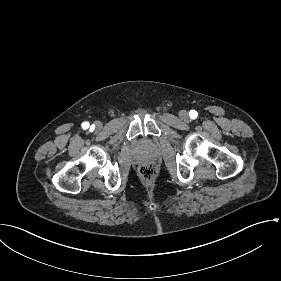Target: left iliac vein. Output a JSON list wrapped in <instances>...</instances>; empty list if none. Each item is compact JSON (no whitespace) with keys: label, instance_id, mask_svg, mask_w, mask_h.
<instances>
[{"label":"left iliac vein","instance_id":"1","mask_svg":"<svg viewBox=\"0 0 281 281\" xmlns=\"http://www.w3.org/2000/svg\"><path fill=\"white\" fill-rule=\"evenodd\" d=\"M179 117H180L183 121H188V119H189V114H188L187 111L182 110V111H180V113H179Z\"/></svg>","mask_w":281,"mask_h":281}]
</instances>
